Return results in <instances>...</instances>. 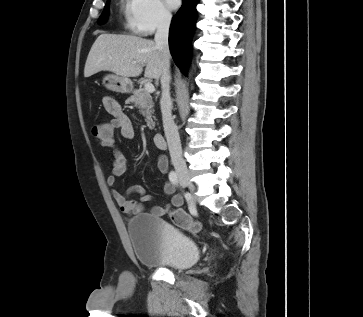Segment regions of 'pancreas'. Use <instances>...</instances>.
Instances as JSON below:
<instances>
[{
  "instance_id": "1",
  "label": "pancreas",
  "mask_w": 363,
  "mask_h": 317,
  "mask_svg": "<svg viewBox=\"0 0 363 317\" xmlns=\"http://www.w3.org/2000/svg\"><path fill=\"white\" fill-rule=\"evenodd\" d=\"M129 102L133 103L136 107L140 108L141 114L146 118L147 126L149 129H154L155 122L152 118L154 114V103L152 96L145 89H136L133 95L128 99Z\"/></svg>"
}]
</instances>
